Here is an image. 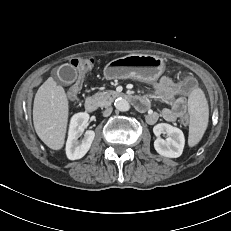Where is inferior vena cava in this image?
Returning a JSON list of instances; mask_svg holds the SVG:
<instances>
[{
    "mask_svg": "<svg viewBox=\"0 0 231 231\" xmlns=\"http://www.w3.org/2000/svg\"><path fill=\"white\" fill-rule=\"evenodd\" d=\"M111 113H112V108H111V107H108V108H106V109L104 110L103 115H104L105 117H108Z\"/></svg>",
    "mask_w": 231,
    "mask_h": 231,
    "instance_id": "602c4592",
    "label": "inferior vena cava"
}]
</instances>
